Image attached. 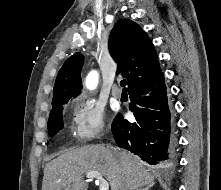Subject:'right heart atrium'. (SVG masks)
Here are the masks:
<instances>
[{
  "label": "right heart atrium",
  "instance_id": "right-heart-atrium-1",
  "mask_svg": "<svg viewBox=\"0 0 221 190\" xmlns=\"http://www.w3.org/2000/svg\"><path fill=\"white\" fill-rule=\"evenodd\" d=\"M72 126L81 143L100 137L105 131L104 108L93 98L81 96L73 100Z\"/></svg>",
  "mask_w": 221,
  "mask_h": 190
}]
</instances>
